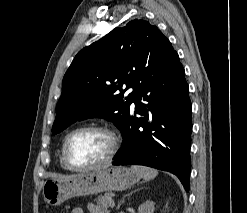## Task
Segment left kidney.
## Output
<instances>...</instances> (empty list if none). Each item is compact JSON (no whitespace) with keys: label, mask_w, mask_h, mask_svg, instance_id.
<instances>
[{"label":"left kidney","mask_w":247,"mask_h":213,"mask_svg":"<svg viewBox=\"0 0 247 213\" xmlns=\"http://www.w3.org/2000/svg\"><path fill=\"white\" fill-rule=\"evenodd\" d=\"M154 205L153 201H146L139 206L138 213H153L155 209Z\"/></svg>","instance_id":"5707ae66"}]
</instances>
